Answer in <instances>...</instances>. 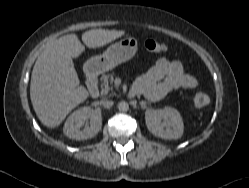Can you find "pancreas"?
<instances>
[{
  "label": "pancreas",
  "instance_id": "1",
  "mask_svg": "<svg viewBox=\"0 0 249 188\" xmlns=\"http://www.w3.org/2000/svg\"><path fill=\"white\" fill-rule=\"evenodd\" d=\"M101 96L105 97L108 95L109 91L113 90V74L102 75L101 78Z\"/></svg>",
  "mask_w": 249,
  "mask_h": 188
}]
</instances>
